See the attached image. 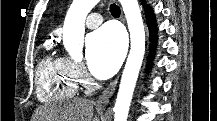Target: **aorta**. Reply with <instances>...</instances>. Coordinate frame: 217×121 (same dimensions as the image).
Returning a JSON list of instances; mask_svg holds the SVG:
<instances>
[{
    "mask_svg": "<svg viewBox=\"0 0 217 121\" xmlns=\"http://www.w3.org/2000/svg\"><path fill=\"white\" fill-rule=\"evenodd\" d=\"M130 32L131 47L114 107V121H127L128 112L145 53V30L138 0H119ZM99 0H73L63 27V44L71 57L82 59L85 20Z\"/></svg>",
    "mask_w": 217,
    "mask_h": 121,
    "instance_id": "aorta-1",
    "label": "aorta"
}]
</instances>
